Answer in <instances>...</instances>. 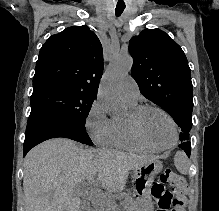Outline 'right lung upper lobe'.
I'll use <instances>...</instances> for the list:
<instances>
[{
    "instance_id": "obj_1",
    "label": "right lung upper lobe",
    "mask_w": 219,
    "mask_h": 211,
    "mask_svg": "<svg viewBox=\"0 0 219 211\" xmlns=\"http://www.w3.org/2000/svg\"><path fill=\"white\" fill-rule=\"evenodd\" d=\"M103 73L98 37L86 25L52 35L42 46L33 77V92L58 85L97 95Z\"/></svg>"
}]
</instances>
